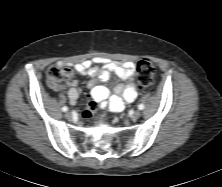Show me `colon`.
Wrapping results in <instances>:
<instances>
[{
	"mask_svg": "<svg viewBox=\"0 0 222 187\" xmlns=\"http://www.w3.org/2000/svg\"><path fill=\"white\" fill-rule=\"evenodd\" d=\"M137 84L140 89H145L151 86L154 80L156 68L155 65L146 59L140 60L137 63ZM47 77L55 83H59L63 79V69L60 66L53 65L47 70ZM98 100L94 97L90 100L84 115H92L98 108Z\"/></svg>",
	"mask_w": 222,
	"mask_h": 187,
	"instance_id": "obj_1",
	"label": "colon"
}]
</instances>
